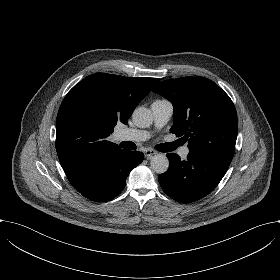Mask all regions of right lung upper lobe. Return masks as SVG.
<instances>
[{
	"label": "right lung upper lobe",
	"mask_w": 280,
	"mask_h": 280,
	"mask_svg": "<svg viewBox=\"0 0 280 280\" xmlns=\"http://www.w3.org/2000/svg\"><path fill=\"white\" fill-rule=\"evenodd\" d=\"M106 73L87 76L65 96L56 119V151L70 182L93 161L122 150L107 141L159 82Z\"/></svg>",
	"instance_id": "1"
}]
</instances>
